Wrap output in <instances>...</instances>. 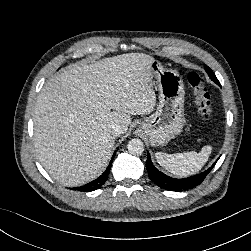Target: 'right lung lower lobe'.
<instances>
[{
  "label": "right lung lower lobe",
  "mask_w": 251,
  "mask_h": 251,
  "mask_svg": "<svg viewBox=\"0 0 251 251\" xmlns=\"http://www.w3.org/2000/svg\"><path fill=\"white\" fill-rule=\"evenodd\" d=\"M116 151L113 154V157H112V159L110 161L109 166L107 167L105 172H103L102 175H100L97 179L93 180L90 183H87V184H85V185H83L81 187L73 188V189H75V190L79 189V190L84 191V192H90V191H94V190L100 188L108 179V175H109V172H110V169H111V166H112V161H113V159L115 157Z\"/></svg>",
  "instance_id": "98d812e1"
}]
</instances>
